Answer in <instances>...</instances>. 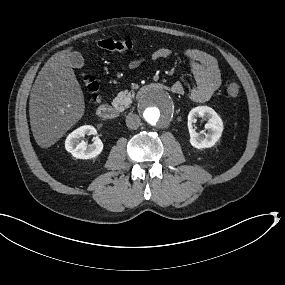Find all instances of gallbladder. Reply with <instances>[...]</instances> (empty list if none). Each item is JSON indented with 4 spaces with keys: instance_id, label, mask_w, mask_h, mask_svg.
Masks as SVG:
<instances>
[{
    "instance_id": "bac80fb5",
    "label": "gallbladder",
    "mask_w": 285,
    "mask_h": 285,
    "mask_svg": "<svg viewBox=\"0 0 285 285\" xmlns=\"http://www.w3.org/2000/svg\"><path fill=\"white\" fill-rule=\"evenodd\" d=\"M70 59L74 68L81 69L85 65L84 58L79 52H72Z\"/></svg>"
}]
</instances>
